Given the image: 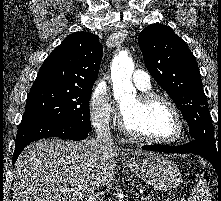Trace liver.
<instances>
[{
    "mask_svg": "<svg viewBox=\"0 0 221 201\" xmlns=\"http://www.w3.org/2000/svg\"><path fill=\"white\" fill-rule=\"evenodd\" d=\"M140 149L116 145L97 148L93 139L74 142L43 139L29 144L14 170L13 201H83L90 191L108 185L115 173V157Z\"/></svg>",
    "mask_w": 221,
    "mask_h": 201,
    "instance_id": "6515ba94",
    "label": "liver"
}]
</instances>
